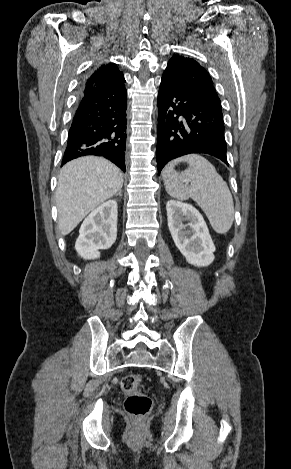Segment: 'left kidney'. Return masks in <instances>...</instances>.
Instances as JSON below:
<instances>
[{
    "instance_id": "5707ae66",
    "label": "left kidney",
    "mask_w": 291,
    "mask_h": 469,
    "mask_svg": "<svg viewBox=\"0 0 291 469\" xmlns=\"http://www.w3.org/2000/svg\"><path fill=\"white\" fill-rule=\"evenodd\" d=\"M166 209L173 241L187 262L197 267L210 265L215 246L200 212L190 204L175 200H169ZM183 221L188 224L183 225Z\"/></svg>"
}]
</instances>
